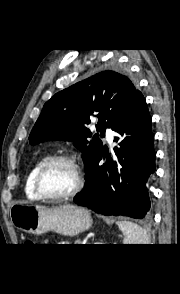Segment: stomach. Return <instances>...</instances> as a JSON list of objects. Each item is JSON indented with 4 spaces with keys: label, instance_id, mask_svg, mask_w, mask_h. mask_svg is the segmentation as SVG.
Listing matches in <instances>:
<instances>
[{
    "label": "stomach",
    "instance_id": "0dacf381",
    "mask_svg": "<svg viewBox=\"0 0 180 294\" xmlns=\"http://www.w3.org/2000/svg\"><path fill=\"white\" fill-rule=\"evenodd\" d=\"M11 221L16 228L33 235L54 231L65 236H75L92 225L90 212L74 205L48 208L40 205H13Z\"/></svg>",
    "mask_w": 180,
    "mask_h": 294
}]
</instances>
